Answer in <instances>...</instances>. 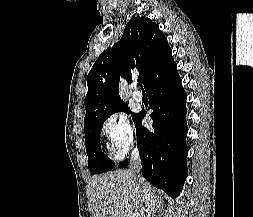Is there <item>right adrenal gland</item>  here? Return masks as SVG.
<instances>
[{
    "instance_id": "obj_1",
    "label": "right adrenal gland",
    "mask_w": 253,
    "mask_h": 217,
    "mask_svg": "<svg viewBox=\"0 0 253 217\" xmlns=\"http://www.w3.org/2000/svg\"><path fill=\"white\" fill-rule=\"evenodd\" d=\"M147 217H154V215L150 216V215H147Z\"/></svg>"
}]
</instances>
